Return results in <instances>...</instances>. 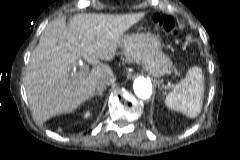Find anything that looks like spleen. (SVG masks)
<instances>
[{
    "label": "spleen",
    "instance_id": "3e777b00",
    "mask_svg": "<svg viewBox=\"0 0 240 160\" xmlns=\"http://www.w3.org/2000/svg\"><path fill=\"white\" fill-rule=\"evenodd\" d=\"M203 80L201 69H189L186 77L177 83L165 98L167 107L182 112L189 117L197 116L202 107Z\"/></svg>",
    "mask_w": 240,
    "mask_h": 160
}]
</instances>
